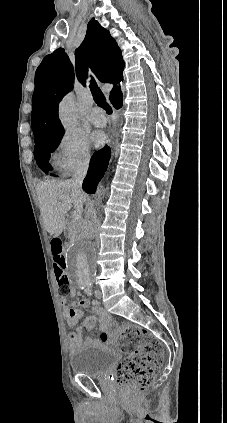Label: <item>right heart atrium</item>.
<instances>
[{"label":"right heart atrium","instance_id":"1","mask_svg":"<svg viewBox=\"0 0 227 423\" xmlns=\"http://www.w3.org/2000/svg\"><path fill=\"white\" fill-rule=\"evenodd\" d=\"M92 161L88 140L77 133H65L58 141L54 162L65 176L87 170Z\"/></svg>","mask_w":227,"mask_h":423}]
</instances>
